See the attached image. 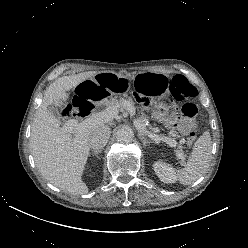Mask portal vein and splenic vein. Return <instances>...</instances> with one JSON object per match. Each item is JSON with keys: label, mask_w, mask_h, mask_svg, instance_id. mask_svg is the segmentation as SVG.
<instances>
[{"label": "portal vein and splenic vein", "mask_w": 248, "mask_h": 248, "mask_svg": "<svg viewBox=\"0 0 248 248\" xmlns=\"http://www.w3.org/2000/svg\"><path fill=\"white\" fill-rule=\"evenodd\" d=\"M127 111L130 113V116L134 118L135 109L129 104H127ZM117 114H118V108L115 106H110L106 110H103L91 116L90 118H87L86 120L82 122H79L76 119H70L66 121L63 125V130L69 133H77L96 123L110 122L115 118ZM133 124L135 125V127L137 128V130L139 131L141 135L148 136L149 138H151L157 143L160 141H163L169 145H173V141L170 140L168 137L153 134L152 132L146 130L145 125H143L140 120L134 118ZM179 157L184 159V156L182 154H179Z\"/></svg>", "instance_id": "1"}]
</instances>
